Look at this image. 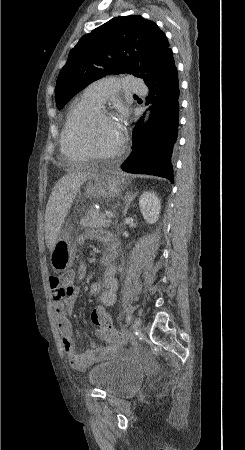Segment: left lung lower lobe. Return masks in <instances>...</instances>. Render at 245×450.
<instances>
[{
  "label": "left lung lower lobe",
  "mask_w": 245,
  "mask_h": 450,
  "mask_svg": "<svg viewBox=\"0 0 245 450\" xmlns=\"http://www.w3.org/2000/svg\"><path fill=\"white\" fill-rule=\"evenodd\" d=\"M152 103L147 123L143 118L133 130V149L121 168L129 173L150 174L174 180L171 155L178 133L179 82L174 58L147 82Z\"/></svg>",
  "instance_id": "1"
}]
</instances>
